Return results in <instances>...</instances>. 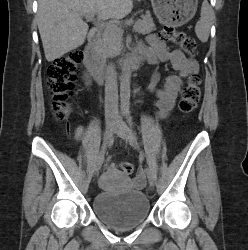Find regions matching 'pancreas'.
Returning <instances> with one entry per match:
<instances>
[{"label": "pancreas", "mask_w": 248, "mask_h": 250, "mask_svg": "<svg viewBox=\"0 0 248 250\" xmlns=\"http://www.w3.org/2000/svg\"><path fill=\"white\" fill-rule=\"evenodd\" d=\"M135 30L143 35L155 30V24L149 12L136 22ZM122 35L123 30L121 28L106 29L104 31L100 41V51L103 58L114 57L120 53Z\"/></svg>", "instance_id": "cf45deb5"}]
</instances>
